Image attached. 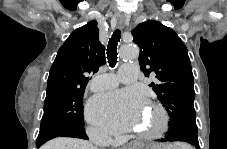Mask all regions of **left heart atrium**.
Masks as SVG:
<instances>
[{"instance_id":"39dd6f15","label":"left heart atrium","mask_w":227,"mask_h":149,"mask_svg":"<svg viewBox=\"0 0 227 149\" xmlns=\"http://www.w3.org/2000/svg\"><path fill=\"white\" fill-rule=\"evenodd\" d=\"M143 95L132 89L113 91L93 96L88 102L86 115L89 121L110 133L133 129L144 109Z\"/></svg>"}]
</instances>
